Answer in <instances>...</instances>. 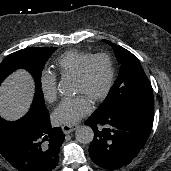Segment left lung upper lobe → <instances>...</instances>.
<instances>
[{
    "label": "left lung upper lobe",
    "instance_id": "5c2ea615",
    "mask_svg": "<svg viewBox=\"0 0 171 171\" xmlns=\"http://www.w3.org/2000/svg\"><path fill=\"white\" fill-rule=\"evenodd\" d=\"M104 41L114 49L121 68L108 96L93 115L112 114L130 107L154 108L152 86L137 57L119 45Z\"/></svg>",
    "mask_w": 171,
    "mask_h": 171
}]
</instances>
